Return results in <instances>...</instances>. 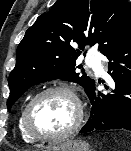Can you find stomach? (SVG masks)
<instances>
[{"label": "stomach", "instance_id": "stomach-1", "mask_svg": "<svg viewBox=\"0 0 131 151\" xmlns=\"http://www.w3.org/2000/svg\"><path fill=\"white\" fill-rule=\"evenodd\" d=\"M89 144L80 139L66 140L48 147L45 151H90Z\"/></svg>", "mask_w": 131, "mask_h": 151}]
</instances>
